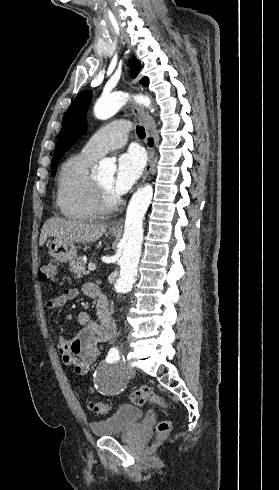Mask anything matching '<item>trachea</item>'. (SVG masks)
<instances>
[{
  "instance_id": "trachea-1",
  "label": "trachea",
  "mask_w": 279,
  "mask_h": 490,
  "mask_svg": "<svg viewBox=\"0 0 279 490\" xmlns=\"http://www.w3.org/2000/svg\"><path fill=\"white\" fill-rule=\"evenodd\" d=\"M136 132L139 138H145L146 134L143 127L137 126Z\"/></svg>"
}]
</instances>
